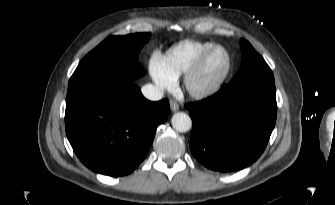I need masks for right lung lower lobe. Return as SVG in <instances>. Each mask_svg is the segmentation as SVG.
Listing matches in <instances>:
<instances>
[{
  "mask_svg": "<svg viewBox=\"0 0 335 205\" xmlns=\"http://www.w3.org/2000/svg\"><path fill=\"white\" fill-rule=\"evenodd\" d=\"M168 113L166 99L151 102L132 83L96 79L68 89L66 134L89 169L124 176L144 160Z\"/></svg>",
  "mask_w": 335,
  "mask_h": 205,
  "instance_id": "98d812e1",
  "label": "right lung lower lobe"
}]
</instances>
